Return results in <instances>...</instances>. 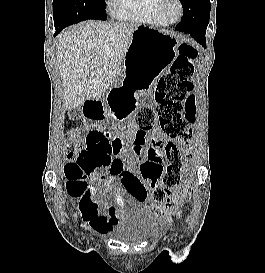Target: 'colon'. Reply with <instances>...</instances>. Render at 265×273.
<instances>
[{
	"label": "colon",
	"mask_w": 265,
	"mask_h": 273,
	"mask_svg": "<svg viewBox=\"0 0 265 273\" xmlns=\"http://www.w3.org/2000/svg\"><path fill=\"white\" fill-rule=\"evenodd\" d=\"M197 56L195 47L183 44L169 71L158 82L154 105H144L136 115L139 131L132 148L135 156H140L150 132L156 126L161 129L162 134L153 136L149 153L165 158L167 165L153 170L151 184L154 200L167 208L173 207L185 193L184 189L177 188L185 168L184 159L188 156L184 147H191L189 125L196 120L195 98L189 94ZM71 136L65 152L67 192L71 197L93 193L87 178L96 170L110 167L112 136L99 129H77Z\"/></svg>",
	"instance_id": "1"
}]
</instances>
